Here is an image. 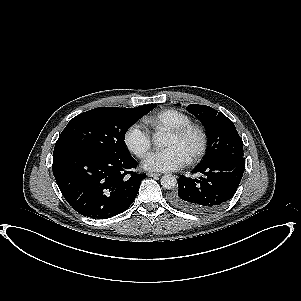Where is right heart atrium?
Listing matches in <instances>:
<instances>
[{
  "label": "right heart atrium",
  "instance_id": "obj_1",
  "mask_svg": "<svg viewBox=\"0 0 301 301\" xmlns=\"http://www.w3.org/2000/svg\"><path fill=\"white\" fill-rule=\"evenodd\" d=\"M125 142L127 147L137 156L145 155L151 148L149 134L137 126L128 129Z\"/></svg>",
  "mask_w": 301,
  "mask_h": 301
}]
</instances>
